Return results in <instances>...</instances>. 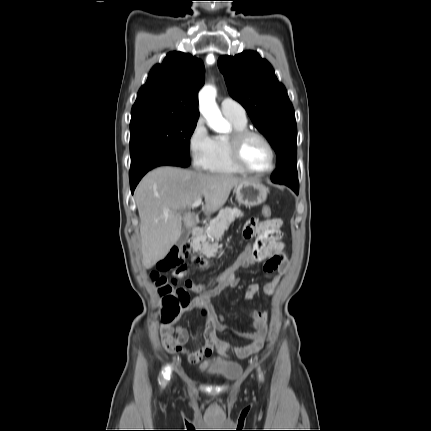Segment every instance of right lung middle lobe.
<instances>
[{"label":"right lung middle lobe","instance_id":"right-lung-middle-lobe-1","mask_svg":"<svg viewBox=\"0 0 431 431\" xmlns=\"http://www.w3.org/2000/svg\"><path fill=\"white\" fill-rule=\"evenodd\" d=\"M197 120L168 115H144L131 118V160L149 150L161 149L190 164V137Z\"/></svg>","mask_w":431,"mask_h":431}]
</instances>
